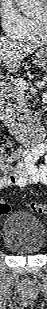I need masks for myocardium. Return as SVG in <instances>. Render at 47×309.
Here are the masks:
<instances>
[{"label": "myocardium", "mask_w": 47, "mask_h": 309, "mask_svg": "<svg viewBox=\"0 0 47 309\" xmlns=\"http://www.w3.org/2000/svg\"><path fill=\"white\" fill-rule=\"evenodd\" d=\"M35 21L37 26L41 30L42 35L45 37L47 29V15L45 14L44 18H36Z\"/></svg>", "instance_id": "obj_1"}]
</instances>
